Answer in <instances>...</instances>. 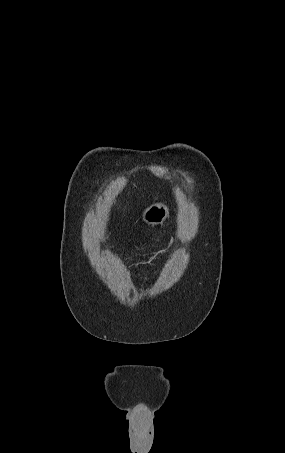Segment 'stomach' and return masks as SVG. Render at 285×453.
<instances>
[{
    "label": "stomach",
    "mask_w": 285,
    "mask_h": 453,
    "mask_svg": "<svg viewBox=\"0 0 285 453\" xmlns=\"http://www.w3.org/2000/svg\"><path fill=\"white\" fill-rule=\"evenodd\" d=\"M169 217V208L163 203H153L141 215L142 220L148 225L163 224Z\"/></svg>",
    "instance_id": "stomach-1"
}]
</instances>
